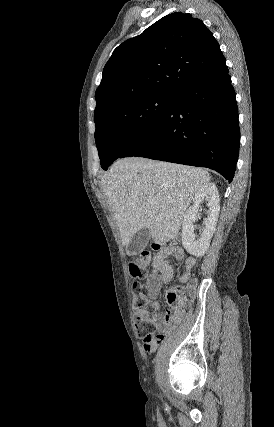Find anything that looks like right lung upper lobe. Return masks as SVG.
Instances as JSON below:
<instances>
[{
	"label": "right lung upper lobe",
	"mask_w": 274,
	"mask_h": 427,
	"mask_svg": "<svg viewBox=\"0 0 274 427\" xmlns=\"http://www.w3.org/2000/svg\"><path fill=\"white\" fill-rule=\"evenodd\" d=\"M226 66L218 42L191 14H169L118 46L104 67L94 117L139 95L172 94Z\"/></svg>",
	"instance_id": "cb5924a9"
}]
</instances>
